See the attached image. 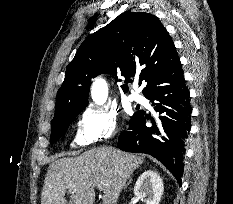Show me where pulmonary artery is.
Instances as JSON below:
<instances>
[{"label":"pulmonary artery","mask_w":233,"mask_h":204,"mask_svg":"<svg viewBox=\"0 0 233 204\" xmlns=\"http://www.w3.org/2000/svg\"><path fill=\"white\" fill-rule=\"evenodd\" d=\"M131 101L143 102V97L138 92H131L129 95Z\"/></svg>","instance_id":"pulmonary-artery-1"}]
</instances>
